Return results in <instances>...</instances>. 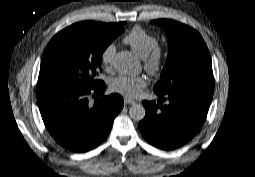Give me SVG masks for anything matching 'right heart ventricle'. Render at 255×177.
<instances>
[{
  "label": "right heart ventricle",
  "instance_id": "1",
  "mask_svg": "<svg viewBox=\"0 0 255 177\" xmlns=\"http://www.w3.org/2000/svg\"><path fill=\"white\" fill-rule=\"evenodd\" d=\"M124 42L136 55L144 59L158 44V38L144 28L136 26L125 36Z\"/></svg>",
  "mask_w": 255,
  "mask_h": 177
}]
</instances>
